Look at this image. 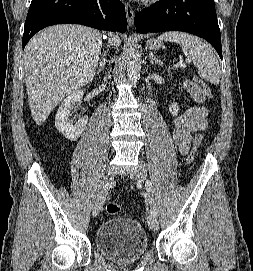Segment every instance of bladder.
I'll use <instances>...</instances> for the list:
<instances>
[{"label": "bladder", "instance_id": "31cf9c89", "mask_svg": "<svg viewBox=\"0 0 253 271\" xmlns=\"http://www.w3.org/2000/svg\"><path fill=\"white\" fill-rule=\"evenodd\" d=\"M96 249L114 262H130L141 258L149 241L145 229L136 220L114 218L103 222L94 236Z\"/></svg>", "mask_w": 253, "mask_h": 271}]
</instances>
